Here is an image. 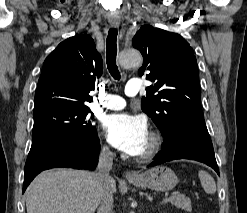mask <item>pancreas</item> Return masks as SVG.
<instances>
[{
  "label": "pancreas",
  "instance_id": "obj_1",
  "mask_svg": "<svg viewBox=\"0 0 247 213\" xmlns=\"http://www.w3.org/2000/svg\"><path fill=\"white\" fill-rule=\"evenodd\" d=\"M173 205L177 208L183 210H191V200L190 198L186 197L184 194H176L174 199L170 201Z\"/></svg>",
  "mask_w": 247,
  "mask_h": 213
}]
</instances>
